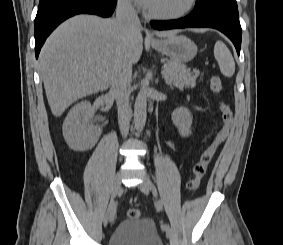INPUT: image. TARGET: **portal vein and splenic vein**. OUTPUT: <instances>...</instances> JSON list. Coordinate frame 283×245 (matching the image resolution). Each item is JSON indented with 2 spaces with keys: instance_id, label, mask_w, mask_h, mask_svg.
<instances>
[{
  "instance_id": "1",
  "label": "portal vein and splenic vein",
  "mask_w": 283,
  "mask_h": 245,
  "mask_svg": "<svg viewBox=\"0 0 283 245\" xmlns=\"http://www.w3.org/2000/svg\"><path fill=\"white\" fill-rule=\"evenodd\" d=\"M161 73H162V74L164 73V69L161 71Z\"/></svg>"
}]
</instances>
